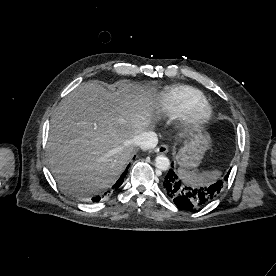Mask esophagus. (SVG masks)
Returning <instances> with one entry per match:
<instances>
[{
	"mask_svg": "<svg viewBox=\"0 0 276 276\" xmlns=\"http://www.w3.org/2000/svg\"><path fill=\"white\" fill-rule=\"evenodd\" d=\"M156 153H160V154H165L168 152V147L164 144L158 146L157 148H155L154 150Z\"/></svg>",
	"mask_w": 276,
	"mask_h": 276,
	"instance_id": "1",
	"label": "esophagus"
}]
</instances>
